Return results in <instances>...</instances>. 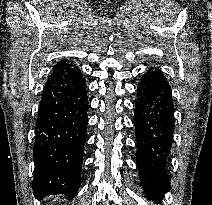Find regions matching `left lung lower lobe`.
Returning <instances> with one entry per match:
<instances>
[{
    "instance_id": "0a47b994",
    "label": "left lung lower lobe",
    "mask_w": 212,
    "mask_h": 205,
    "mask_svg": "<svg viewBox=\"0 0 212 205\" xmlns=\"http://www.w3.org/2000/svg\"><path fill=\"white\" fill-rule=\"evenodd\" d=\"M134 125L137 165L145 195L161 202L169 191L165 172L174 133V105L170 85L159 69L150 68L138 83Z\"/></svg>"
}]
</instances>
